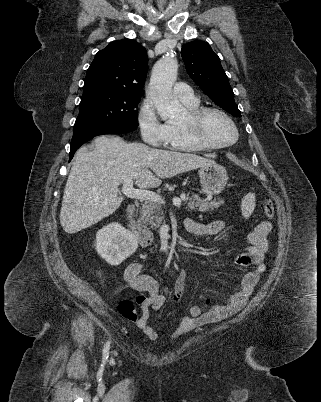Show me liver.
<instances>
[{"mask_svg": "<svg viewBox=\"0 0 321 402\" xmlns=\"http://www.w3.org/2000/svg\"><path fill=\"white\" fill-rule=\"evenodd\" d=\"M216 164L191 153L127 143L104 135L94 140V149L81 147L68 176L60 223L68 234L88 228L113 214L121 205L119 185L134 180L140 188H155L161 179Z\"/></svg>", "mask_w": 321, "mask_h": 402, "instance_id": "1", "label": "liver"}]
</instances>
